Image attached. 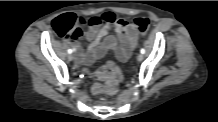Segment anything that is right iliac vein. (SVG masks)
Returning a JSON list of instances; mask_svg holds the SVG:
<instances>
[{"label":"right iliac vein","mask_w":218,"mask_h":122,"mask_svg":"<svg viewBox=\"0 0 218 122\" xmlns=\"http://www.w3.org/2000/svg\"><path fill=\"white\" fill-rule=\"evenodd\" d=\"M73 59H74V56H73L72 54H69V55H68V60H69V61H72Z\"/></svg>","instance_id":"obj_1"}]
</instances>
